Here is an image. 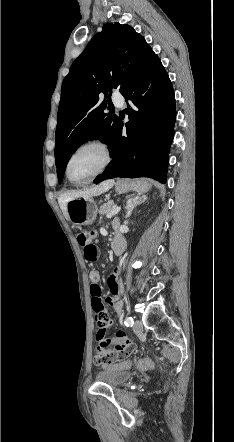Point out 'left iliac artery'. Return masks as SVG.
I'll return each instance as SVG.
<instances>
[{"label":"left iliac artery","instance_id":"1","mask_svg":"<svg viewBox=\"0 0 234 442\" xmlns=\"http://www.w3.org/2000/svg\"><path fill=\"white\" fill-rule=\"evenodd\" d=\"M124 323H125V325L128 327V326H133V324H134V320H133V318L132 317H126L125 318V320H124Z\"/></svg>","mask_w":234,"mask_h":442}]
</instances>
